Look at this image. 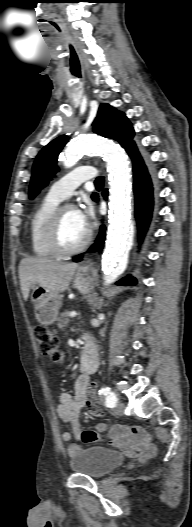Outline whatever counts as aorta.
Here are the masks:
<instances>
[{"mask_svg": "<svg viewBox=\"0 0 192 527\" xmlns=\"http://www.w3.org/2000/svg\"><path fill=\"white\" fill-rule=\"evenodd\" d=\"M84 153L101 154L109 171V231L102 259V270L108 282H113L126 268L132 246L134 228L131 224V174L127 156L117 145L100 137L87 135L71 141L63 156L65 168L72 167Z\"/></svg>", "mask_w": 192, "mask_h": 527, "instance_id": "obj_1", "label": "aorta"}]
</instances>
